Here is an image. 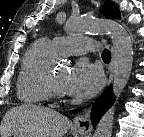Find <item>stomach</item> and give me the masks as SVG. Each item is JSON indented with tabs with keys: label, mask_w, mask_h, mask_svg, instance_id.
I'll return each mask as SVG.
<instances>
[{
	"label": "stomach",
	"mask_w": 144,
	"mask_h": 137,
	"mask_svg": "<svg viewBox=\"0 0 144 137\" xmlns=\"http://www.w3.org/2000/svg\"><path fill=\"white\" fill-rule=\"evenodd\" d=\"M16 137H28V136H16Z\"/></svg>",
	"instance_id": "0dacf381"
}]
</instances>
